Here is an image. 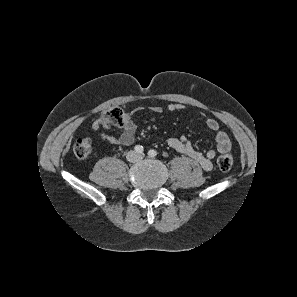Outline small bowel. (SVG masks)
<instances>
[{
  "mask_svg": "<svg viewBox=\"0 0 297 297\" xmlns=\"http://www.w3.org/2000/svg\"><path fill=\"white\" fill-rule=\"evenodd\" d=\"M183 109L184 106L182 104H170L167 106V110L171 112L180 111ZM151 110L155 113H161L163 108L160 106H154ZM198 116L205 119L207 128L216 133L215 146L213 148L209 149L206 153L199 152L194 149L191 142L184 136L171 137L168 139L167 144L173 150L193 159L205 171H210L213 167L212 160L215 158L216 154L229 152L231 149V142L227 133L219 130L220 126L216 119L208 117L204 112H198ZM121 127L122 133L118 137H115L100 131L101 128H108V124L103 123L100 119L95 121L93 124V128L98 131L99 136L103 140L116 145H132L135 141L137 125L129 114H126L125 121Z\"/></svg>",
  "mask_w": 297,
  "mask_h": 297,
  "instance_id": "1",
  "label": "small bowel"
}]
</instances>
